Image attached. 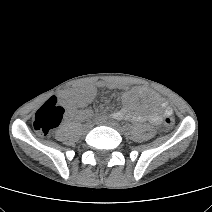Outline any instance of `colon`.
Masks as SVG:
<instances>
[{
    "instance_id": "colon-1",
    "label": "colon",
    "mask_w": 212,
    "mask_h": 212,
    "mask_svg": "<svg viewBox=\"0 0 212 212\" xmlns=\"http://www.w3.org/2000/svg\"><path fill=\"white\" fill-rule=\"evenodd\" d=\"M65 109L58 103L56 97L49 98L43 105L36 111L33 117V128L42 136H47L61 123ZM175 120L172 116H166L164 125L167 128H172Z\"/></svg>"
}]
</instances>
